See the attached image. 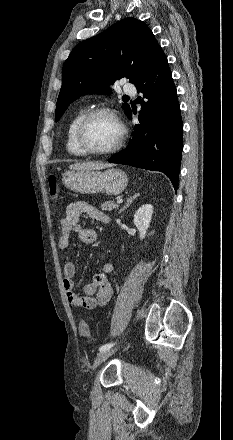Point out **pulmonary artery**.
<instances>
[{
  "instance_id": "e3ab8cb5",
  "label": "pulmonary artery",
  "mask_w": 233,
  "mask_h": 440,
  "mask_svg": "<svg viewBox=\"0 0 233 440\" xmlns=\"http://www.w3.org/2000/svg\"><path fill=\"white\" fill-rule=\"evenodd\" d=\"M124 91L126 93L135 94L136 93V88H135V86H133L131 84H125Z\"/></svg>"
}]
</instances>
